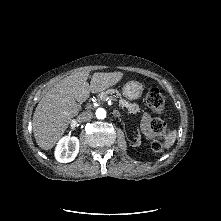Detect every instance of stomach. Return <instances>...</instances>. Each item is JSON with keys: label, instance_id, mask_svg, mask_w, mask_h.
Here are the masks:
<instances>
[{"label": "stomach", "instance_id": "stomach-1", "mask_svg": "<svg viewBox=\"0 0 221 221\" xmlns=\"http://www.w3.org/2000/svg\"><path fill=\"white\" fill-rule=\"evenodd\" d=\"M143 92V86L137 81H129L123 87V95L129 100L140 98Z\"/></svg>", "mask_w": 221, "mask_h": 221}]
</instances>
